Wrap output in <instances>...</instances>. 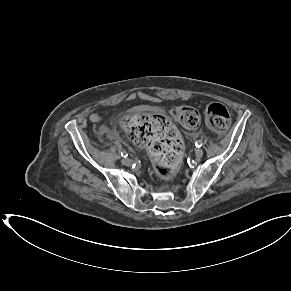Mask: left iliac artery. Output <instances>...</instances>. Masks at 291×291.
Masks as SVG:
<instances>
[{
  "mask_svg": "<svg viewBox=\"0 0 291 291\" xmlns=\"http://www.w3.org/2000/svg\"><path fill=\"white\" fill-rule=\"evenodd\" d=\"M195 146L200 148L202 146V141H196Z\"/></svg>",
  "mask_w": 291,
  "mask_h": 291,
  "instance_id": "1",
  "label": "left iliac artery"
}]
</instances>
